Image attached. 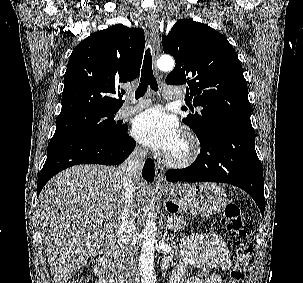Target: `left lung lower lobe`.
I'll use <instances>...</instances> for the list:
<instances>
[{
  "label": "left lung lower lobe",
  "mask_w": 303,
  "mask_h": 283,
  "mask_svg": "<svg viewBox=\"0 0 303 283\" xmlns=\"http://www.w3.org/2000/svg\"><path fill=\"white\" fill-rule=\"evenodd\" d=\"M199 138L200 154L187 168L169 170L170 182H221L245 190L262 214L265 209L261 162L255 151L252 125L221 124Z\"/></svg>",
  "instance_id": "0a47b994"
}]
</instances>
